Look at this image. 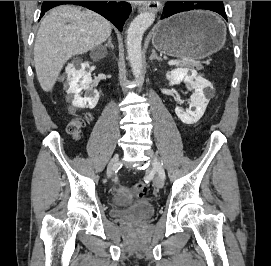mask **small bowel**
<instances>
[{"mask_svg": "<svg viewBox=\"0 0 271 266\" xmlns=\"http://www.w3.org/2000/svg\"><path fill=\"white\" fill-rule=\"evenodd\" d=\"M132 195L130 193V191L128 190V188L121 186L115 194V202L120 204V203H124L127 200L131 199Z\"/></svg>", "mask_w": 271, "mask_h": 266, "instance_id": "1", "label": "small bowel"}]
</instances>
